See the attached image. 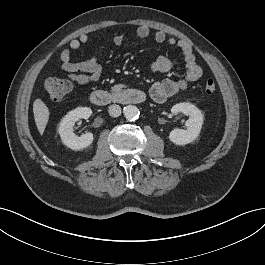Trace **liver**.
Listing matches in <instances>:
<instances>
[{
  "label": "liver",
  "instance_id": "1",
  "mask_svg": "<svg viewBox=\"0 0 265 265\" xmlns=\"http://www.w3.org/2000/svg\"><path fill=\"white\" fill-rule=\"evenodd\" d=\"M33 114L39 133L42 135L49 120V109L41 99H36L33 103Z\"/></svg>",
  "mask_w": 265,
  "mask_h": 265
}]
</instances>
